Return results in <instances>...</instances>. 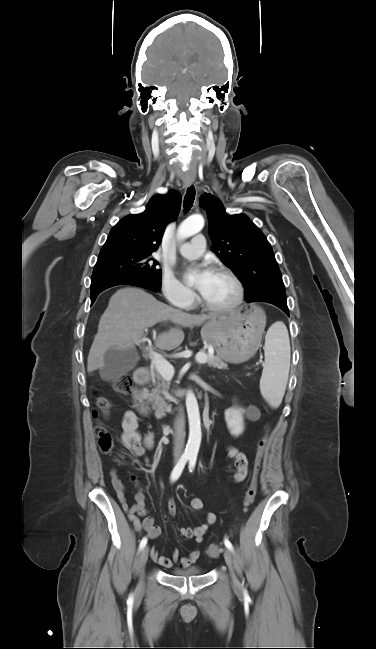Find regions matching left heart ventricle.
Listing matches in <instances>:
<instances>
[{
  "label": "left heart ventricle",
  "instance_id": "obj_1",
  "mask_svg": "<svg viewBox=\"0 0 376 649\" xmlns=\"http://www.w3.org/2000/svg\"><path fill=\"white\" fill-rule=\"evenodd\" d=\"M201 294L209 304L222 306L234 299L236 289L227 275L213 272L210 282Z\"/></svg>",
  "mask_w": 376,
  "mask_h": 649
}]
</instances>
